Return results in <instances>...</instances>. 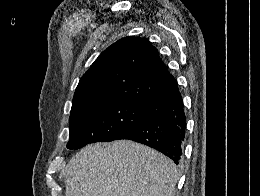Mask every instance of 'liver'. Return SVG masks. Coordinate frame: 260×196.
<instances>
[{"label":"liver","mask_w":260,"mask_h":196,"mask_svg":"<svg viewBox=\"0 0 260 196\" xmlns=\"http://www.w3.org/2000/svg\"><path fill=\"white\" fill-rule=\"evenodd\" d=\"M174 162L131 140L89 144L70 160L66 196H175Z\"/></svg>","instance_id":"liver-1"}]
</instances>
